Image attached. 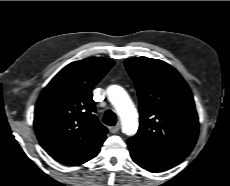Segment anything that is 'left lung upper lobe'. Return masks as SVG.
Masks as SVG:
<instances>
[{"label": "left lung upper lobe", "mask_w": 230, "mask_h": 186, "mask_svg": "<svg viewBox=\"0 0 230 186\" xmlns=\"http://www.w3.org/2000/svg\"><path fill=\"white\" fill-rule=\"evenodd\" d=\"M124 63L135 82L140 102V126L129 140L186 158L199 130L187 83L172 66L158 59L129 58Z\"/></svg>", "instance_id": "5c2ea615"}]
</instances>
